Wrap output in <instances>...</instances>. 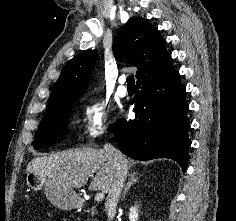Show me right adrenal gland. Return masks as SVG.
Returning a JSON list of instances; mask_svg holds the SVG:
<instances>
[{
    "mask_svg": "<svg viewBox=\"0 0 236 221\" xmlns=\"http://www.w3.org/2000/svg\"><path fill=\"white\" fill-rule=\"evenodd\" d=\"M138 175H139V174H138L137 172H131V173L129 174V179H128L127 184H126V186H125V188H124V192H123V195H122L121 200H124V199H125V196H126L128 190L131 188V186H132L134 183H136V182L139 181Z\"/></svg>",
    "mask_w": 236,
    "mask_h": 221,
    "instance_id": "obj_1",
    "label": "right adrenal gland"
}]
</instances>
